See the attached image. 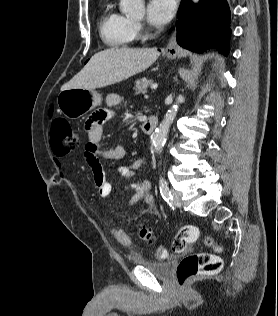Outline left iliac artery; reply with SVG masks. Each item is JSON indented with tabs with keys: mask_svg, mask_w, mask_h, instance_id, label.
<instances>
[{
	"mask_svg": "<svg viewBox=\"0 0 278 316\" xmlns=\"http://www.w3.org/2000/svg\"><path fill=\"white\" fill-rule=\"evenodd\" d=\"M159 189H160V193H161L163 199L168 204H171V202L173 201V196L171 195L168 184L163 177H160V179H159Z\"/></svg>",
	"mask_w": 278,
	"mask_h": 316,
	"instance_id": "1",
	"label": "left iliac artery"
}]
</instances>
